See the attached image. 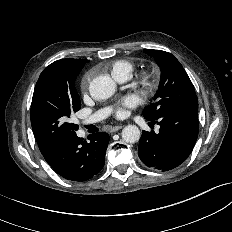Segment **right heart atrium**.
<instances>
[{
	"instance_id": "1",
	"label": "right heart atrium",
	"mask_w": 232,
	"mask_h": 232,
	"mask_svg": "<svg viewBox=\"0 0 232 232\" xmlns=\"http://www.w3.org/2000/svg\"><path fill=\"white\" fill-rule=\"evenodd\" d=\"M90 80H91V74L85 75L81 82L82 88L84 89L87 88Z\"/></svg>"
}]
</instances>
